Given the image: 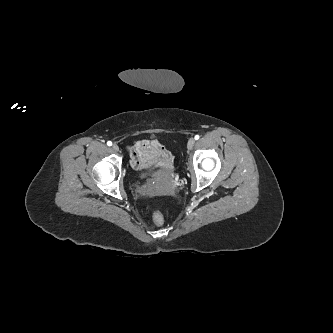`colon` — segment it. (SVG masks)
I'll return each instance as SVG.
<instances>
[{
    "label": "colon",
    "mask_w": 333,
    "mask_h": 333,
    "mask_svg": "<svg viewBox=\"0 0 333 333\" xmlns=\"http://www.w3.org/2000/svg\"><path fill=\"white\" fill-rule=\"evenodd\" d=\"M153 222L156 226L161 227L164 224V217L161 212L156 211L153 215Z\"/></svg>",
    "instance_id": "colon-1"
}]
</instances>
